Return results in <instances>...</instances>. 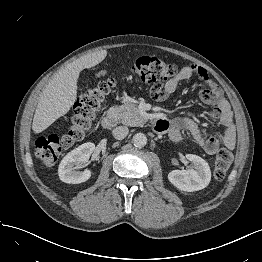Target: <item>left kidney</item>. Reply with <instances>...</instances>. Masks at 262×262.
<instances>
[{"instance_id":"left-kidney-1","label":"left kidney","mask_w":262,"mask_h":262,"mask_svg":"<svg viewBox=\"0 0 262 262\" xmlns=\"http://www.w3.org/2000/svg\"><path fill=\"white\" fill-rule=\"evenodd\" d=\"M185 157L192 162L194 169L173 170L168 174V180L181 191L194 192L204 189L211 180L208 163L194 154H186Z\"/></svg>"}]
</instances>
